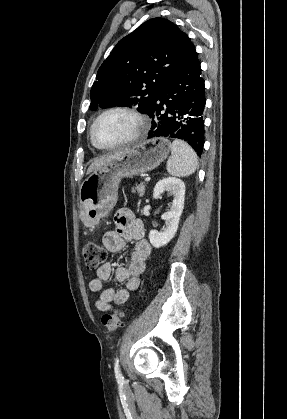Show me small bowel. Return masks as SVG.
Returning a JSON list of instances; mask_svg holds the SVG:
<instances>
[{
  "mask_svg": "<svg viewBox=\"0 0 287 419\" xmlns=\"http://www.w3.org/2000/svg\"><path fill=\"white\" fill-rule=\"evenodd\" d=\"M115 228L108 230L103 235V244L110 252L123 250L128 242H134V249L130 254L127 267H117L114 271L115 279L119 282H126L123 289L104 288L113 272L112 265L106 263L97 270V276L90 281V289L99 292L100 296L96 301L98 309L105 311L113 303L124 304L129 299L130 293L136 291L140 286V275L144 272L146 261L150 255L151 247L144 238V225L142 221L135 218L133 213L127 209L119 210L114 218Z\"/></svg>",
  "mask_w": 287,
  "mask_h": 419,
  "instance_id": "small-bowel-1",
  "label": "small bowel"
}]
</instances>
